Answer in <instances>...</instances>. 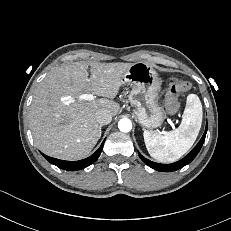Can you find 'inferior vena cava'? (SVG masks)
I'll use <instances>...</instances> for the list:
<instances>
[{
	"label": "inferior vena cava",
	"mask_w": 231,
	"mask_h": 231,
	"mask_svg": "<svg viewBox=\"0 0 231 231\" xmlns=\"http://www.w3.org/2000/svg\"><path fill=\"white\" fill-rule=\"evenodd\" d=\"M96 121L100 126L107 125L111 122L112 120V115L109 111L107 110H98L95 113Z\"/></svg>",
	"instance_id": "1"
}]
</instances>
